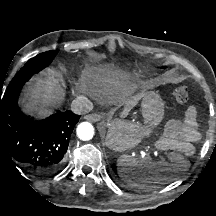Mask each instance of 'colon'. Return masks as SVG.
<instances>
[{
  "mask_svg": "<svg viewBox=\"0 0 216 216\" xmlns=\"http://www.w3.org/2000/svg\"><path fill=\"white\" fill-rule=\"evenodd\" d=\"M174 98L180 103H185L189 99V88L185 85L178 86L174 89Z\"/></svg>",
  "mask_w": 216,
  "mask_h": 216,
  "instance_id": "1",
  "label": "colon"
}]
</instances>
